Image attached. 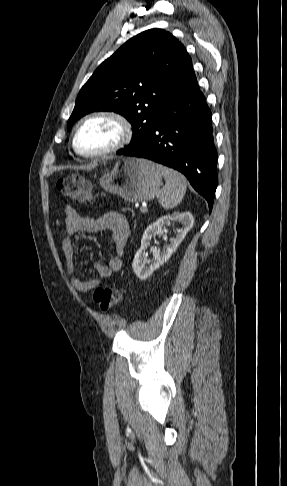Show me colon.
I'll return each instance as SVG.
<instances>
[{
  "mask_svg": "<svg viewBox=\"0 0 287 486\" xmlns=\"http://www.w3.org/2000/svg\"><path fill=\"white\" fill-rule=\"evenodd\" d=\"M56 188L63 196L80 202H87L92 198L91 182L79 175H70L59 179ZM93 297L98 307L106 312L119 303L121 293L115 288L104 286L97 288Z\"/></svg>",
  "mask_w": 287,
  "mask_h": 486,
  "instance_id": "5ec220e1",
  "label": "colon"
}]
</instances>
